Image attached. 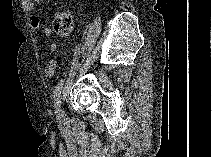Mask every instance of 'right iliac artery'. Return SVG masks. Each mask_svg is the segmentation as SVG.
I'll return each instance as SVG.
<instances>
[{
	"mask_svg": "<svg viewBox=\"0 0 212 157\" xmlns=\"http://www.w3.org/2000/svg\"><path fill=\"white\" fill-rule=\"evenodd\" d=\"M64 80H60L54 90V108L56 113L61 112V89L63 87Z\"/></svg>",
	"mask_w": 212,
	"mask_h": 157,
	"instance_id": "obj_1",
	"label": "right iliac artery"
}]
</instances>
